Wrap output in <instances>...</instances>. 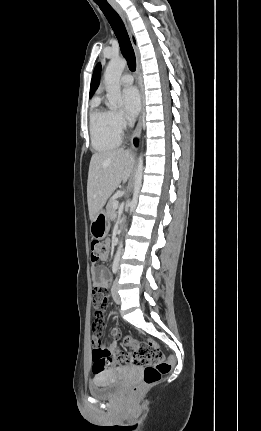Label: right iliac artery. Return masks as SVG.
<instances>
[{
  "instance_id": "1",
  "label": "right iliac artery",
  "mask_w": 261,
  "mask_h": 431,
  "mask_svg": "<svg viewBox=\"0 0 261 431\" xmlns=\"http://www.w3.org/2000/svg\"><path fill=\"white\" fill-rule=\"evenodd\" d=\"M116 272H117V269H116V268H114V269H113V273H114V274H116Z\"/></svg>"
}]
</instances>
